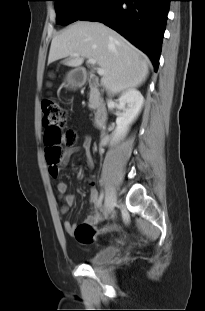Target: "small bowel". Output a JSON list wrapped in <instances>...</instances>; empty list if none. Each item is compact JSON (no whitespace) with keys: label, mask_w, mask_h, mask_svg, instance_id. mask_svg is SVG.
<instances>
[{"label":"small bowel","mask_w":205,"mask_h":311,"mask_svg":"<svg viewBox=\"0 0 205 311\" xmlns=\"http://www.w3.org/2000/svg\"><path fill=\"white\" fill-rule=\"evenodd\" d=\"M80 149L84 150L87 156V163L89 168L93 167V159L91 156V137L88 135H85L81 139V145L77 147H72L67 149L64 157V161L66 162L73 154L78 152ZM50 174L53 178L58 177V168H50ZM56 190L60 194V196L63 199L64 205L62 207V211L65 212L69 206L73 205L75 201V196L71 193L67 192V184L64 181L58 180L56 182ZM89 200L91 204L93 205V210L92 212L87 216L85 222L89 224H97L101 218V213H100V205L98 203V191L95 187H92L89 193ZM64 229L72 234L74 228L76 225L70 221H65L64 222Z\"/></svg>","instance_id":"small-bowel-1"}]
</instances>
